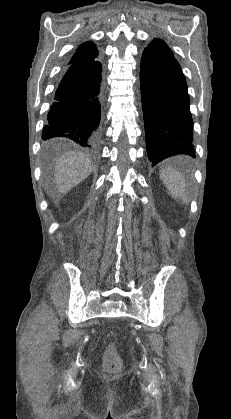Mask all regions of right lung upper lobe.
<instances>
[{"label":"right lung upper lobe","mask_w":231,"mask_h":419,"mask_svg":"<svg viewBox=\"0 0 231 419\" xmlns=\"http://www.w3.org/2000/svg\"><path fill=\"white\" fill-rule=\"evenodd\" d=\"M98 55V51L93 43L85 42L81 44L75 54L70 59L69 63L83 61V60H92L95 59Z\"/></svg>","instance_id":"right-lung-upper-lobe-1"}]
</instances>
